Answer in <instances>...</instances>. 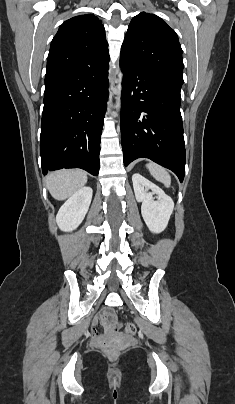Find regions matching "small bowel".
I'll use <instances>...</instances> for the list:
<instances>
[{
    "mask_svg": "<svg viewBox=\"0 0 235 404\" xmlns=\"http://www.w3.org/2000/svg\"><path fill=\"white\" fill-rule=\"evenodd\" d=\"M103 312L104 310L102 311L101 316L96 319V321L101 319V317L103 316Z\"/></svg>",
    "mask_w": 235,
    "mask_h": 404,
    "instance_id": "c3829d8e",
    "label": "small bowel"
}]
</instances>
